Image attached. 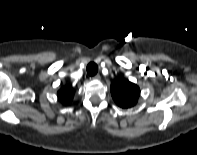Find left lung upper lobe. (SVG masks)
Here are the masks:
<instances>
[{"label": "left lung upper lobe", "instance_id": "obj_1", "mask_svg": "<svg viewBox=\"0 0 197 155\" xmlns=\"http://www.w3.org/2000/svg\"><path fill=\"white\" fill-rule=\"evenodd\" d=\"M111 94L119 107L129 108L137 103L140 89L129 80L117 77L111 84Z\"/></svg>", "mask_w": 197, "mask_h": 155}]
</instances>
